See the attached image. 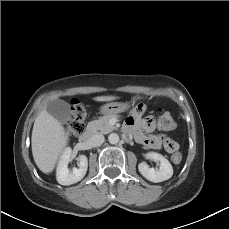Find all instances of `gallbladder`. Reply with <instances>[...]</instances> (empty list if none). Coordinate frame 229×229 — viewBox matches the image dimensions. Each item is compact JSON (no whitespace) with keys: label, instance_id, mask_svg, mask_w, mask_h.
<instances>
[{"label":"gallbladder","instance_id":"gallbladder-1","mask_svg":"<svg viewBox=\"0 0 229 229\" xmlns=\"http://www.w3.org/2000/svg\"><path fill=\"white\" fill-rule=\"evenodd\" d=\"M47 111L62 123H66L71 119V106L63 100L49 101Z\"/></svg>","mask_w":229,"mask_h":229}]
</instances>
